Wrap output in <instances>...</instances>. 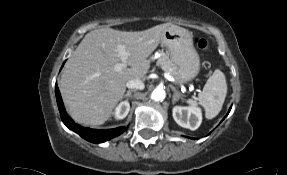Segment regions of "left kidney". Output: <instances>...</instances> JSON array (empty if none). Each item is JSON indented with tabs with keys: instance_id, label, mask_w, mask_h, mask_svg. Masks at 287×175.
Listing matches in <instances>:
<instances>
[{
	"instance_id": "obj_1",
	"label": "left kidney",
	"mask_w": 287,
	"mask_h": 175,
	"mask_svg": "<svg viewBox=\"0 0 287 175\" xmlns=\"http://www.w3.org/2000/svg\"><path fill=\"white\" fill-rule=\"evenodd\" d=\"M173 118L178 125L190 130H196L202 122L201 109L196 106H175Z\"/></svg>"
}]
</instances>
